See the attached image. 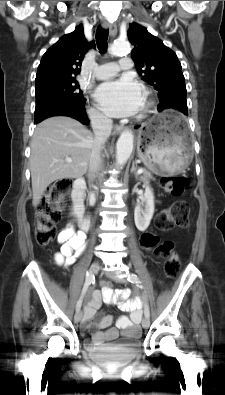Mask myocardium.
I'll return each instance as SVG.
<instances>
[{
	"instance_id": "f54148a6",
	"label": "myocardium",
	"mask_w": 225,
	"mask_h": 395,
	"mask_svg": "<svg viewBox=\"0 0 225 395\" xmlns=\"http://www.w3.org/2000/svg\"><path fill=\"white\" fill-rule=\"evenodd\" d=\"M153 105V100L151 98L150 92L146 89L143 91V105L138 116L139 119L144 118Z\"/></svg>"
}]
</instances>
